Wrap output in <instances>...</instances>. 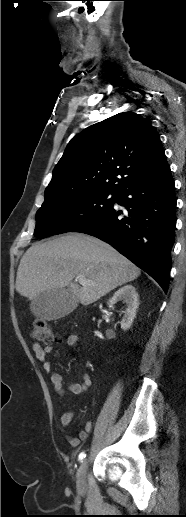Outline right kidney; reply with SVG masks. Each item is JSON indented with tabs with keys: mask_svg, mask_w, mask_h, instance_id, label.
I'll return each instance as SVG.
<instances>
[{
	"mask_svg": "<svg viewBox=\"0 0 186 517\" xmlns=\"http://www.w3.org/2000/svg\"><path fill=\"white\" fill-rule=\"evenodd\" d=\"M118 301H123V303L127 305V308L123 312L124 317L121 321V328L125 331L131 327L136 316V309L139 306L138 293L135 287L132 285L121 287L114 293L113 297L109 299L108 304L114 305Z\"/></svg>",
	"mask_w": 186,
	"mask_h": 517,
	"instance_id": "obj_1",
	"label": "right kidney"
}]
</instances>
